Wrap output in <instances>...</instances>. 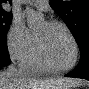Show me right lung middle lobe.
Instances as JSON below:
<instances>
[{
  "label": "right lung middle lobe",
  "mask_w": 89,
  "mask_h": 89,
  "mask_svg": "<svg viewBox=\"0 0 89 89\" xmlns=\"http://www.w3.org/2000/svg\"><path fill=\"white\" fill-rule=\"evenodd\" d=\"M12 14L1 8L0 4V45L6 42V34L10 27Z\"/></svg>",
  "instance_id": "1"
}]
</instances>
